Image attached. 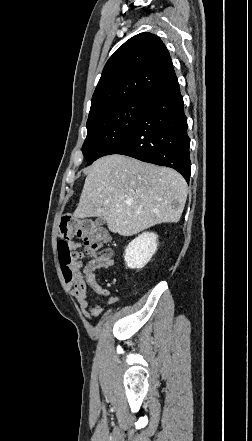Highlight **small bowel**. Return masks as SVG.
<instances>
[{
	"instance_id": "1",
	"label": "small bowel",
	"mask_w": 252,
	"mask_h": 441,
	"mask_svg": "<svg viewBox=\"0 0 252 441\" xmlns=\"http://www.w3.org/2000/svg\"><path fill=\"white\" fill-rule=\"evenodd\" d=\"M78 258H91L81 269V278L77 282H69L72 294L77 300L83 315L88 320L100 316L104 312V308L99 304H92L88 297V288H91L98 295L105 297L109 304H116L118 299L109 290L103 288L96 279V270L100 268H108L113 265V256L110 249H103L99 252L84 251L77 253Z\"/></svg>"
}]
</instances>
